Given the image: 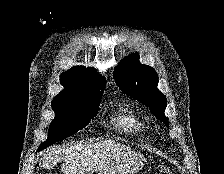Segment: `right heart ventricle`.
<instances>
[{"label":"right heart ventricle","mask_w":224,"mask_h":174,"mask_svg":"<svg viewBox=\"0 0 224 174\" xmlns=\"http://www.w3.org/2000/svg\"><path fill=\"white\" fill-rule=\"evenodd\" d=\"M115 127L127 133H140L144 130V123L130 108H123L114 119Z\"/></svg>","instance_id":"obj_1"}]
</instances>
